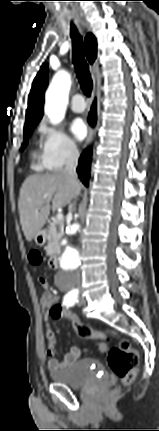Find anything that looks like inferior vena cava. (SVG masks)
I'll list each match as a JSON object with an SVG mask.
<instances>
[{
	"label": "inferior vena cava",
	"instance_id": "602c4592",
	"mask_svg": "<svg viewBox=\"0 0 159 431\" xmlns=\"http://www.w3.org/2000/svg\"><path fill=\"white\" fill-rule=\"evenodd\" d=\"M79 152L75 146H69L67 149L66 160H65V169L63 171L64 175L69 177L70 179H76V168L78 165ZM79 194V190L77 191ZM72 205L69 206V213L71 214ZM75 280L77 283L80 282V273L75 274Z\"/></svg>",
	"mask_w": 159,
	"mask_h": 431
}]
</instances>
